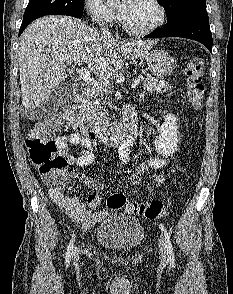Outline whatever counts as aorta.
Wrapping results in <instances>:
<instances>
[{
	"instance_id": "obj_1",
	"label": "aorta",
	"mask_w": 233,
	"mask_h": 294,
	"mask_svg": "<svg viewBox=\"0 0 233 294\" xmlns=\"http://www.w3.org/2000/svg\"><path fill=\"white\" fill-rule=\"evenodd\" d=\"M117 1H119V0H107V3L108 4H113V3L117 2Z\"/></svg>"
}]
</instances>
